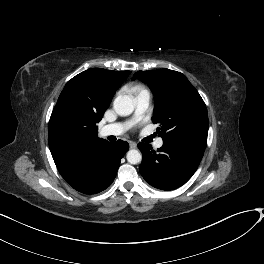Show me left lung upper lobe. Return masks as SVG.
I'll return each mask as SVG.
<instances>
[{"label":"left lung upper lobe","mask_w":264,"mask_h":264,"mask_svg":"<svg viewBox=\"0 0 264 264\" xmlns=\"http://www.w3.org/2000/svg\"><path fill=\"white\" fill-rule=\"evenodd\" d=\"M139 79L155 96L152 120L160 127L163 142H192L205 148L208 135V114L205 103L195 87L180 72L161 69L138 71Z\"/></svg>","instance_id":"left-lung-upper-lobe-1"}]
</instances>
